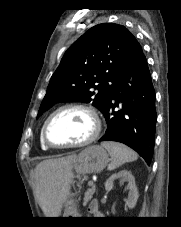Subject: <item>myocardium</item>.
<instances>
[{
  "label": "myocardium",
  "mask_w": 181,
  "mask_h": 227,
  "mask_svg": "<svg viewBox=\"0 0 181 227\" xmlns=\"http://www.w3.org/2000/svg\"><path fill=\"white\" fill-rule=\"evenodd\" d=\"M67 109H77V110H81V111H84L85 113H87L92 121V126H93L92 131L88 137H86L85 139H83L81 141L74 142V143H68V144H57V143H54L53 141H51L49 138V135H48L49 125H50V122L52 121V119L58 113H60L61 111L67 110ZM101 128H102L101 119L93 107L88 106L86 104H82V103H67V104H64V105L58 107L57 109H55L47 117V119L45 120L44 125L42 127V138L48 147L55 148V149L83 147V146L89 145L90 143H92L93 141H95L97 139V137L99 136V134L101 132Z\"/></svg>",
  "instance_id": "1"
}]
</instances>
